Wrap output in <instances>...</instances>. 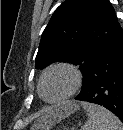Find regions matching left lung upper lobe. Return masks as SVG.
<instances>
[{
	"instance_id": "1",
	"label": "left lung upper lobe",
	"mask_w": 123,
	"mask_h": 130,
	"mask_svg": "<svg viewBox=\"0 0 123 130\" xmlns=\"http://www.w3.org/2000/svg\"><path fill=\"white\" fill-rule=\"evenodd\" d=\"M120 31L109 0H65L42 33L35 68L70 62L79 65L84 84L95 59Z\"/></svg>"
}]
</instances>
